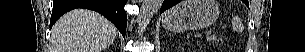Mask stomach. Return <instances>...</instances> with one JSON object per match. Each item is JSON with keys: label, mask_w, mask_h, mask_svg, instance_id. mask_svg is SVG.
<instances>
[{"label": "stomach", "mask_w": 305, "mask_h": 52, "mask_svg": "<svg viewBox=\"0 0 305 52\" xmlns=\"http://www.w3.org/2000/svg\"><path fill=\"white\" fill-rule=\"evenodd\" d=\"M218 17L216 0H184L164 14L162 24L168 31L181 33L209 27Z\"/></svg>", "instance_id": "obj_1"}]
</instances>
